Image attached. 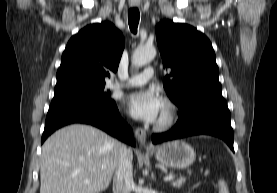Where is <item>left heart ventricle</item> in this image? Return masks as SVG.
I'll list each match as a JSON object with an SVG mask.
<instances>
[{
	"label": "left heart ventricle",
	"mask_w": 277,
	"mask_h": 193,
	"mask_svg": "<svg viewBox=\"0 0 277 193\" xmlns=\"http://www.w3.org/2000/svg\"><path fill=\"white\" fill-rule=\"evenodd\" d=\"M165 114H166V107L164 105L162 110H161V112H160V115H159V117L157 119V122L160 121L165 116Z\"/></svg>",
	"instance_id": "1"
}]
</instances>
